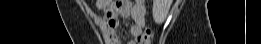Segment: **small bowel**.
<instances>
[{"label": "small bowel", "mask_w": 261, "mask_h": 44, "mask_svg": "<svg viewBox=\"0 0 261 44\" xmlns=\"http://www.w3.org/2000/svg\"><path fill=\"white\" fill-rule=\"evenodd\" d=\"M105 10V18L103 21L104 38L110 44H120L122 39L118 32L120 29V16L130 14L134 23L130 28V35L132 39L129 41L130 44L135 43L136 39L141 35L145 26V15L146 9L144 1L137 0L132 6H124L118 8L116 6H100Z\"/></svg>", "instance_id": "c3829d8e"}]
</instances>
